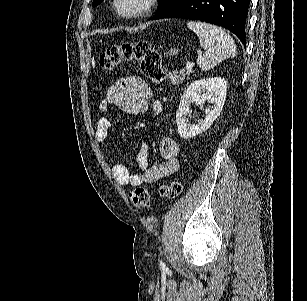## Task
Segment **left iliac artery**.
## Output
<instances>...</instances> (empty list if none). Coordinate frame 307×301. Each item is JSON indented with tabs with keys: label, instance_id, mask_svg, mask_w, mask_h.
<instances>
[{
	"label": "left iliac artery",
	"instance_id": "1",
	"mask_svg": "<svg viewBox=\"0 0 307 301\" xmlns=\"http://www.w3.org/2000/svg\"><path fill=\"white\" fill-rule=\"evenodd\" d=\"M160 268L163 269V270H167V267L162 260H160Z\"/></svg>",
	"mask_w": 307,
	"mask_h": 301
}]
</instances>
